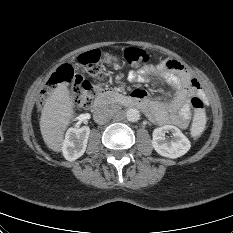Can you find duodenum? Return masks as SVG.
<instances>
[{
	"mask_svg": "<svg viewBox=\"0 0 233 233\" xmlns=\"http://www.w3.org/2000/svg\"><path fill=\"white\" fill-rule=\"evenodd\" d=\"M108 102H115L128 107L134 106L136 104V100L133 98L126 97L112 89H103L98 94L94 102V106L96 108H100Z\"/></svg>",
	"mask_w": 233,
	"mask_h": 233,
	"instance_id": "obj_1",
	"label": "duodenum"
}]
</instances>
